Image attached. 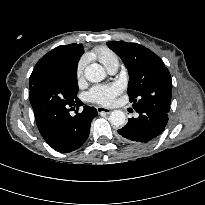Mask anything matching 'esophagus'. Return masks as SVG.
I'll list each match as a JSON object with an SVG mask.
<instances>
[{"label": "esophagus", "mask_w": 205, "mask_h": 205, "mask_svg": "<svg viewBox=\"0 0 205 205\" xmlns=\"http://www.w3.org/2000/svg\"><path fill=\"white\" fill-rule=\"evenodd\" d=\"M97 111H98V113H105V114H109L111 112L110 109L105 108V107H100V106L97 107Z\"/></svg>", "instance_id": "34e87169"}]
</instances>
